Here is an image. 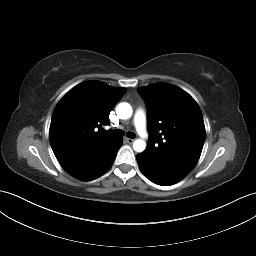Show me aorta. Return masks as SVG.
I'll return each instance as SVG.
<instances>
[{"label": "aorta", "mask_w": 256, "mask_h": 256, "mask_svg": "<svg viewBox=\"0 0 256 256\" xmlns=\"http://www.w3.org/2000/svg\"><path fill=\"white\" fill-rule=\"evenodd\" d=\"M116 113L120 119H129L133 110L129 103L122 102L116 107ZM146 148V142L143 139H137L133 142V149L136 152H143Z\"/></svg>", "instance_id": "aorta-1"}]
</instances>
